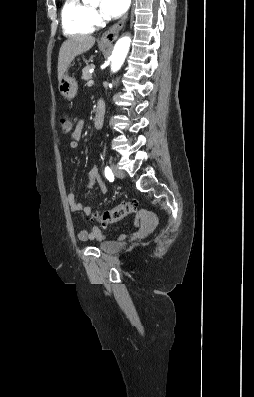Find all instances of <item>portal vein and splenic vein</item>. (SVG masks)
I'll use <instances>...</instances> for the list:
<instances>
[{"label": "portal vein and splenic vein", "instance_id": "obj_1", "mask_svg": "<svg viewBox=\"0 0 254 397\" xmlns=\"http://www.w3.org/2000/svg\"><path fill=\"white\" fill-rule=\"evenodd\" d=\"M93 83H94L93 80H89V81L87 82V85H88V86H91V85H93Z\"/></svg>", "mask_w": 254, "mask_h": 397}]
</instances>
